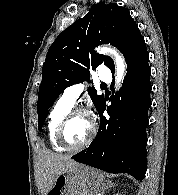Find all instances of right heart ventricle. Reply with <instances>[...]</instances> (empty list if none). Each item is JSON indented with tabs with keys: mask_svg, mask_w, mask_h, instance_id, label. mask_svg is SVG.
Listing matches in <instances>:
<instances>
[{
	"mask_svg": "<svg viewBox=\"0 0 178 195\" xmlns=\"http://www.w3.org/2000/svg\"><path fill=\"white\" fill-rule=\"evenodd\" d=\"M72 107L73 105L67 103L60 97L49 112L47 119V136L51 148L57 152H63L65 149L58 144L56 140V131L61 120Z\"/></svg>",
	"mask_w": 178,
	"mask_h": 195,
	"instance_id": "obj_1",
	"label": "right heart ventricle"
}]
</instances>
